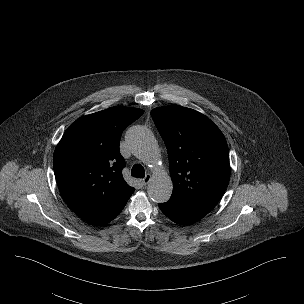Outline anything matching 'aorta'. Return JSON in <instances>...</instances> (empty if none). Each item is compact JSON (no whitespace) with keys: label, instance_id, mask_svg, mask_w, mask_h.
Here are the masks:
<instances>
[{"label":"aorta","instance_id":"762f6f07","mask_svg":"<svg viewBox=\"0 0 304 304\" xmlns=\"http://www.w3.org/2000/svg\"><path fill=\"white\" fill-rule=\"evenodd\" d=\"M127 142L133 154L153 171L148 196L156 203L167 202L172 194V181L160 164V151L153 134L143 126H136L128 132Z\"/></svg>","mask_w":304,"mask_h":304}]
</instances>
